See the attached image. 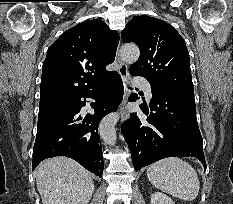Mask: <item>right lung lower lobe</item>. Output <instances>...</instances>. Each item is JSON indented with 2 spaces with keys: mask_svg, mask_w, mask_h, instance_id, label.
<instances>
[{
  "mask_svg": "<svg viewBox=\"0 0 233 204\" xmlns=\"http://www.w3.org/2000/svg\"><path fill=\"white\" fill-rule=\"evenodd\" d=\"M123 86L117 72L97 88L71 98L70 105L55 116L38 123L33 147V169L44 159L67 156L87 170L102 177L103 157L99 144L98 123L117 109L123 98ZM94 98L95 113L82 117L85 106L81 98Z\"/></svg>",
  "mask_w": 233,
  "mask_h": 204,
  "instance_id": "98d812e1",
  "label": "right lung lower lobe"
}]
</instances>
